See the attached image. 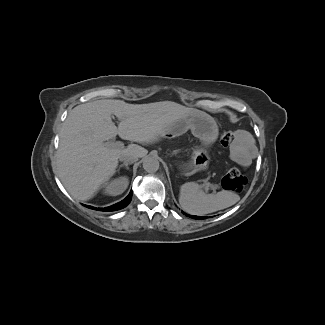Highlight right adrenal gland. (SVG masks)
Returning <instances> with one entry per match:
<instances>
[{
	"instance_id": "2a0ac1e0",
	"label": "right adrenal gland",
	"mask_w": 325,
	"mask_h": 325,
	"mask_svg": "<svg viewBox=\"0 0 325 325\" xmlns=\"http://www.w3.org/2000/svg\"><path fill=\"white\" fill-rule=\"evenodd\" d=\"M126 167V169H129V167H128V163H123V164H121L120 166H119V168H121V167Z\"/></svg>"
}]
</instances>
